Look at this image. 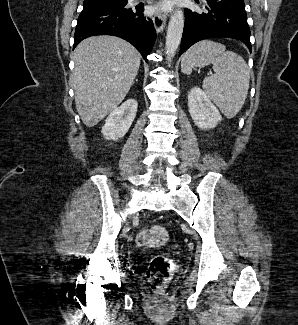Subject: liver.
I'll list each match as a JSON object with an SVG mask.
<instances>
[{
	"mask_svg": "<svg viewBox=\"0 0 298 325\" xmlns=\"http://www.w3.org/2000/svg\"><path fill=\"white\" fill-rule=\"evenodd\" d=\"M75 104L86 126H95L124 100L141 54L118 36H89L74 52Z\"/></svg>",
	"mask_w": 298,
	"mask_h": 325,
	"instance_id": "obj_1",
	"label": "liver"
}]
</instances>
